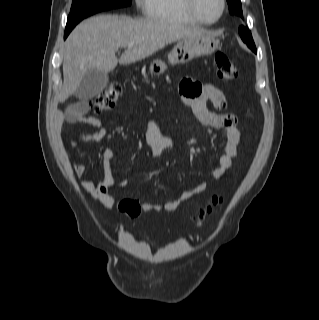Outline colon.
<instances>
[{
    "mask_svg": "<svg viewBox=\"0 0 319 320\" xmlns=\"http://www.w3.org/2000/svg\"><path fill=\"white\" fill-rule=\"evenodd\" d=\"M215 63L217 66V75L220 79L231 81L238 77V70L226 53L218 51L215 55ZM120 93L121 86L116 82L110 83L106 89L92 100L91 109L96 113H100L111 108L116 103ZM221 201V196H213L209 204L200 210L196 216V220H203ZM119 209L129 216H137L141 212L140 204L133 199L122 200L119 203Z\"/></svg>",
    "mask_w": 319,
    "mask_h": 320,
    "instance_id": "5ec220e1",
    "label": "colon"
}]
</instances>
